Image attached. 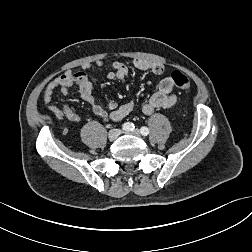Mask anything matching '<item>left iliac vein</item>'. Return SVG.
<instances>
[{"mask_svg": "<svg viewBox=\"0 0 252 252\" xmlns=\"http://www.w3.org/2000/svg\"><path fill=\"white\" fill-rule=\"evenodd\" d=\"M133 135L139 136L140 135V131L138 129L133 130L132 132H130Z\"/></svg>", "mask_w": 252, "mask_h": 252, "instance_id": "1", "label": "left iliac vein"}]
</instances>
